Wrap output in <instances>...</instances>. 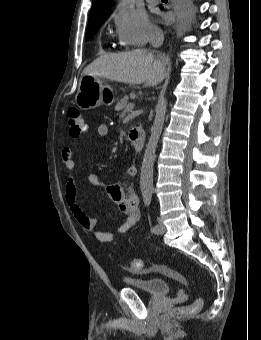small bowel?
<instances>
[{"instance_id": "small-bowel-1", "label": "small bowel", "mask_w": 261, "mask_h": 340, "mask_svg": "<svg viewBox=\"0 0 261 340\" xmlns=\"http://www.w3.org/2000/svg\"><path fill=\"white\" fill-rule=\"evenodd\" d=\"M85 130H87V124H85ZM97 133L100 136H107L109 133V128L106 124H100L97 127ZM62 160L65 168L71 172L75 168V161L73 157V152L70 148L66 147L62 150ZM126 174L130 177H135L137 175V168L131 165L127 168ZM88 182L95 186L101 187L103 183L100 181L96 174L90 173L87 176ZM107 193L110 199L117 205L118 209L122 211L126 218L118 227L119 233H126L130 230L140 219L139 210V199L137 194L130 188L121 185L113 184L107 187ZM65 200L70 208V211L80 226L89 232H94L97 240L101 242H112L114 239V234L102 230L96 229V219L89 216L82 208L78 202L77 197V187L70 176L68 178L65 187Z\"/></svg>"}]
</instances>
